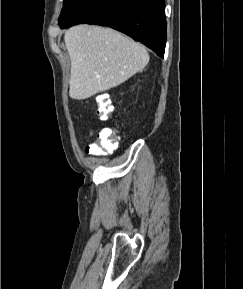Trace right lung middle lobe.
I'll return each mask as SVG.
<instances>
[{
	"label": "right lung middle lobe",
	"mask_w": 243,
	"mask_h": 289,
	"mask_svg": "<svg viewBox=\"0 0 243 289\" xmlns=\"http://www.w3.org/2000/svg\"><path fill=\"white\" fill-rule=\"evenodd\" d=\"M82 0H64L63 9L59 17V22L68 19L71 14L76 10Z\"/></svg>",
	"instance_id": "1"
}]
</instances>
